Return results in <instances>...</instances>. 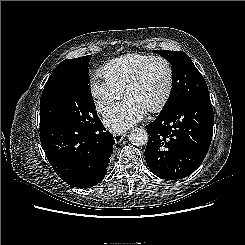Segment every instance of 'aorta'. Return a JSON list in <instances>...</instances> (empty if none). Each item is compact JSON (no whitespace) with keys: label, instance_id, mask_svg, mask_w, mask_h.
Masks as SVG:
<instances>
[{"label":"aorta","instance_id":"1","mask_svg":"<svg viewBox=\"0 0 245 245\" xmlns=\"http://www.w3.org/2000/svg\"><path fill=\"white\" fill-rule=\"evenodd\" d=\"M148 133L145 129L136 127L129 135V141L135 146H143L148 142Z\"/></svg>","mask_w":245,"mask_h":245}]
</instances>
